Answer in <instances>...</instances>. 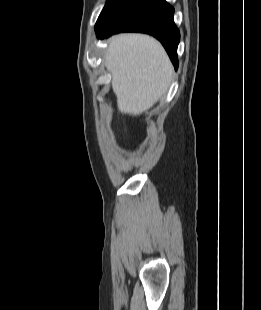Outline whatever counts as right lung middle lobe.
<instances>
[{"instance_id":"1","label":"right lung middle lobe","mask_w":261,"mask_h":310,"mask_svg":"<svg viewBox=\"0 0 261 310\" xmlns=\"http://www.w3.org/2000/svg\"><path fill=\"white\" fill-rule=\"evenodd\" d=\"M130 0H107L102 10L95 28L104 26L119 10H121Z\"/></svg>"}]
</instances>
